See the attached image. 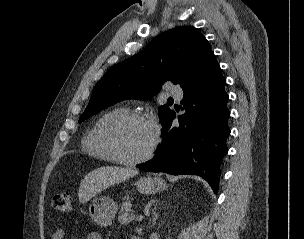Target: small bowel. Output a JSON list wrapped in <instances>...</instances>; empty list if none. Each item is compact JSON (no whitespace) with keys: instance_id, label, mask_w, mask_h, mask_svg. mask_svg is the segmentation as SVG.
I'll return each mask as SVG.
<instances>
[{"instance_id":"1","label":"small bowel","mask_w":304,"mask_h":239,"mask_svg":"<svg viewBox=\"0 0 304 239\" xmlns=\"http://www.w3.org/2000/svg\"><path fill=\"white\" fill-rule=\"evenodd\" d=\"M65 238H66V232L64 229H57L51 235V239H65ZM87 239H102V238L98 233L91 232L87 235Z\"/></svg>"}]
</instances>
